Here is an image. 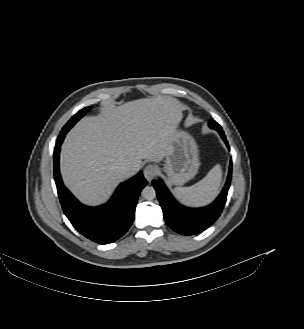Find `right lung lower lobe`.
I'll return each instance as SVG.
<instances>
[{
	"mask_svg": "<svg viewBox=\"0 0 304 329\" xmlns=\"http://www.w3.org/2000/svg\"><path fill=\"white\" fill-rule=\"evenodd\" d=\"M65 135H59L54 149V176L58 196L67 218L76 230L88 239L109 244L122 237L134 220L136 203L146 180L140 171L119 185L110 201L99 207H88L78 202L65 188L59 171L60 146Z\"/></svg>",
	"mask_w": 304,
	"mask_h": 329,
	"instance_id": "98d812e1",
	"label": "right lung lower lobe"
}]
</instances>
